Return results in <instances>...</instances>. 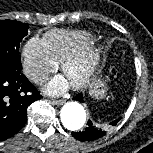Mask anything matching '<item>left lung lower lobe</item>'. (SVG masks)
Masks as SVG:
<instances>
[{"label":"left lung lower lobe","mask_w":153,"mask_h":153,"mask_svg":"<svg viewBox=\"0 0 153 153\" xmlns=\"http://www.w3.org/2000/svg\"><path fill=\"white\" fill-rule=\"evenodd\" d=\"M73 99L79 102H83V97L81 93L76 95ZM120 119L121 118H118L115 121L111 122V125H115ZM87 125L88 127H86L82 131L72 132V136L81 141H93L106 135V131L98 128L90 120L88 121Z\"/></svg>","instance_id":"1"}]
</instances>
